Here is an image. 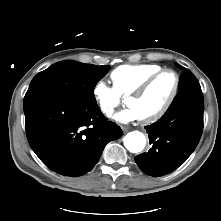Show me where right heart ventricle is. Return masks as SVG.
<instances>
[{
  "mask_svg": "<svg viewBox=\"0 0 221 221\" xmlns=\"http://www.w3.org/2000/svg\"><path fill=\"white\" fill-rule=\"evenodd\" d=\"M162 68L154 64L122 65L111 72L114 88L121 96H128L149 76Z\"/></svg>",
  "mask_w": 221,
  "mask_h": 221,
  "instance_id": "obj_1",
  "label": "right heart ventricle"
}]
</instances>
